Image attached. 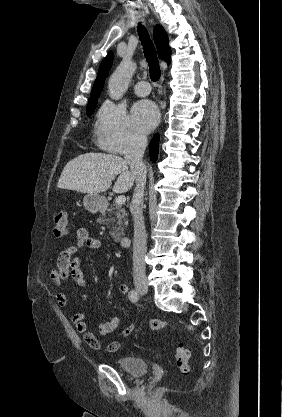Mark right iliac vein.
<instances>
[{
	"label": "right iliac vein",
	"instance_id": "1",
	"mask_svg": "<svg viewBox=\"0 0 282 417\" xmlns=\"http://www.w3.org/2000/svg\"><path fill=\"white\" fill-rule=\"evenodd\" d=\"M136 289L141 294H145L148 291V287H147V285L145 283H137L136 284Z\"/></svg>",
	"mask_w": 282,
	"mask_h": 417
}]
</instances>
